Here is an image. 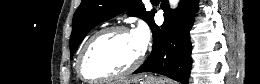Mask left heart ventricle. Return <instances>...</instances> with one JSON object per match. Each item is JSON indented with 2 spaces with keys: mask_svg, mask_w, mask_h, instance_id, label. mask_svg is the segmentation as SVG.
<instances>
[{
  "mask_svg": "<svg viewBox=\"0 0 260 84\" xmlns=\"http://www.w3.org/2000/svg\"><path fill=\"white\" fill-rule=\"evenodd\" d=\"M140 53L133 34L105 33L96 39L87 53L84 73L91 78L119 73L132 65Z\"/></svg>",
  "mask_w": 260,
  "mask_h": 84,
  "instance_id": "obj_1",
  "label": "left heart ventricle"
}]
</instances>
